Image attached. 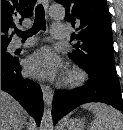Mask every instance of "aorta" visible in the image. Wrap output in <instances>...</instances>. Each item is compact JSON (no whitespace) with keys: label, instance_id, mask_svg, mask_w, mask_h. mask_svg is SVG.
Instances as JSON below:
<instances>
[{"label":"aorta","instance_id":"aorta-1","mask_svg":"<svg viewBox=\"0 0 123 130\" xmlns=\"http://www.w3.org/2000/svg\"><path fill=\"white\" fill-rule=\"evenodd\" d=\"M49 16L53 19H63L65 16V9L60 4H53L49 8ZM40 130H53V120L50 108L44 110Z\"/></svg>","mask_w":123,"mask_h":130}]
</instances>
